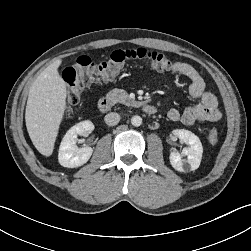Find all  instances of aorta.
<instances>
[{
	"instance_id": "aorta-1",
	"label": "aorta",
	"mask_w": 251,
	"mask_h": 251,
	"mask_svg": "<svg viewBox=\"0 0 251 251\" xmlns=\"http://www.w3.org/2000/svg\"><path fill=\"white\" fill-rule=\"evenodd\" d=\"M131 124L135 127H139L142 124V118L138 115H135L131 118Z\"/></svg>"
}]
</instances>
